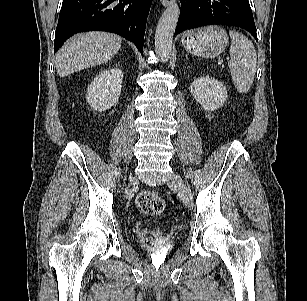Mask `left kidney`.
Segmentation results:
<instances>
[{
    "label": "left kidney",
    "instance_id": "left-kidney-1",
    "mask_svg": "<svg viewBox=\"0 0 307 301\" xmlns=\"http://www.w3.org/2000/svg\"><path fill=\"white\" fill-rule=\"evenodd\" d=\"M190 92L207 111L217 110L228 97L225 86L208 75L196 78L190 85Z\"/></svg>",
    "mask_w": 307,
    "mask_h": 301
}]
</instances>
